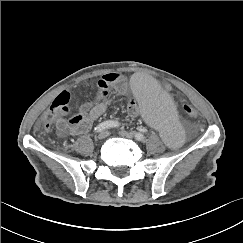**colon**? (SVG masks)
I'll return each mask as SVG.
<instances>
[{
    "instance_id": "5ec220e1",
    "label": "colon",
    "mask_w": 243,
    "mask_h": 243,
    "mask_svg": "<svg viewBox=\"0 0 243 243\" xmlns=\"http://www.w3.org/2000/svg\"><path fill=\"white\" fill-rule=\"evenodd\" d=\"M70 95L63 91L57 95L53 100L50 109L45 113L42 119V128L46 131L50 130L53 122L56 120L57 116L61 113L69 111ZM183 111L194 119V121L199 122L202 119L201 113L190 103L185 102L182 106Z\"/></svg>"
}]
</instances>
